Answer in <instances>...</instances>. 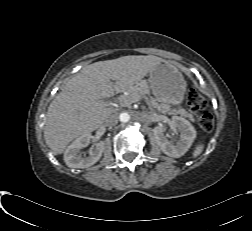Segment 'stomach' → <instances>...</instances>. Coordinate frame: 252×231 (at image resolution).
Returning <instances> with one entry per match:
<instances>
[{
  "mask_svg": "<svg viewBox=\"0 0 252 231\" xmlns=\"http://www.w3.org/2000/svg\"><path fill=\"white\" fill-rule=\"evenodd\" d=\"M149 75V87L156 101L161 102L165 107L182 102L186 82L175 66L161 61L150 71Z\"/></svg>",
  "mask_w": 252,
  "mask_h": 231,
  "instance_id": "stomach-1",
  "label": "stomach"
}]
</instances>
